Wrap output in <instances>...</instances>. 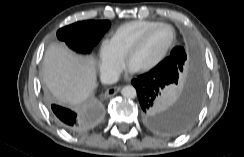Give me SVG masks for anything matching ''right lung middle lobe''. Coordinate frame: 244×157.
Returning a JSON list of instances; mask_svg holds the SVG:
<instances>
[{
  "label": "right lung middle lobe",
  "instance_id": "obj_1",
  "mask_svg": "<svg viewBox=\"0 0 244 157\" xmlns=\"http://www.w3.org/2000/svg\"><path fill=\"white\" fill-rule=\"evenodd\" d=\"M109 27V21H80L58 30L57 37L71 49L86 53L99 42Z\"/></svg>",
  "mask_w": 244,
  "mask_h": 157
}]
</instances>
